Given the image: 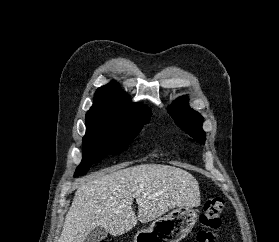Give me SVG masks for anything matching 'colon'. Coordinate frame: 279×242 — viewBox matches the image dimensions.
Segmentation results:
<instances>
[{"label": "colon", "instance_id": "colon-1", "mask_svg": "<svg viewBox=\"0 0 279 242\" xmlns=\"http://www.w3.org/2000/svg\"><path fill=\"white\" fill-rule=\"evenodd\" d=\"M224 205L225 201L221 196H213L205 202L204 211L199 217L203 228L197 232L192 242H216Z\"/></svg>", "mask_w": 279, "mask_h": 242}]
</instances>
